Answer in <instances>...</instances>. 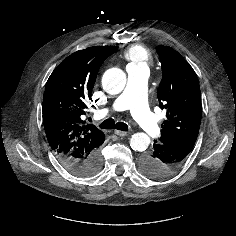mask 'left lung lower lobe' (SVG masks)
<instances>
[{"mask_svg":"<svg viewBox=\"0 0 236 236\" xmlns=\"http://www.w3.org/2000/svg\"><path fill=\"white\" fill-rule=\"evenodd\" d=\"M194 144L192 140L165 144L155 142L152 151L142 157L141 169L145 175L154 179L168 177L184 164Z\"/></svg>","mask_w":236,"mask_h":236,"instance_id":"0a47b994","label":"left lung lower lobe"}]
</instances>
